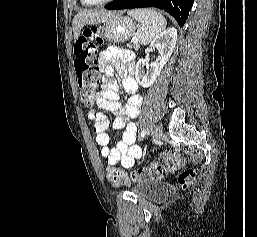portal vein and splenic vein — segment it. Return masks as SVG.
Returning <instances> with one entry per match:
<instances>
[{"mask_svg": "<svg viewBox=\"0 0 257 237\" xmlns=\"http://www.w3.org/2000/svg\"><path fill=\"white\" fill-rule=\"evenodd\" d=\"M132 42H133V43H138V39H137L136 37H134V38L132 39Z\"/></svg>", "mask_w": 257, "mask_h": 237, "instance_id": "1", "label": "portal vein and splenic vein"}]
</instances>
